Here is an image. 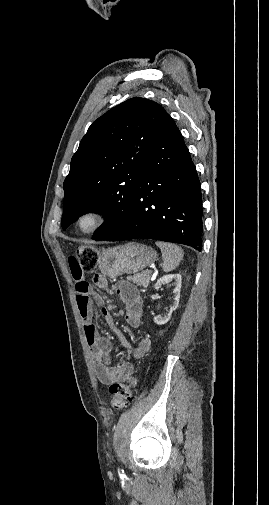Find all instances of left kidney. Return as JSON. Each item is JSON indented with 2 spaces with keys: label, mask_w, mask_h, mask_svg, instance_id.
I'll list each match as a JSON object with an SVG mask.
<instances>
[{
  "label": "left kidney",
  "mask_w": 269,
  "mask_h": 505,
  "mask_svg": "<svg viewBox=\"0 0 269 505\" xmlns=\"http://www.w3.org/2000/svg\"><path fill=\"white\" fill-rule=\"evenodd\" d=\"M171 280H174L175 284V289L173 290L174 293V301L173 304L170 307V311L164 314L163 316H158L154 317V322L157 325H164L166 324L173 313L179 305V299H180V289H181V282H182V277L180 274H167L162 276L155 284L154 288L158 290L160 286L166 282H170Z\"/></svg>",
  "instance_id": "obj_1"
}]
</instances>
